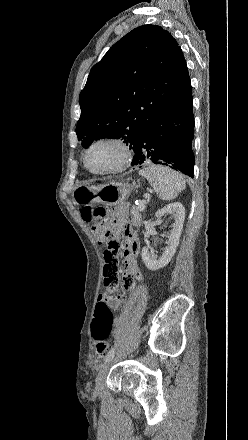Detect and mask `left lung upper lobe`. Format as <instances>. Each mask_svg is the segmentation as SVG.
<instances>
[{"mask_svg": "<svg viewBox=\"0 0 248 440\" xmlns=\"http://www.w3.org/2000/svg\"><path fill=\"white\" fill-rule=\"evenodd\" d=\"M190 84L182 50L160 26L142 25L95 64L80 93L76 134L87 148L101 137L133 149L154 117Z\"/></svg>", "mask_w": 248, "mask_h": 440, "instance_id": "5c2ea615", "label": "left lung upper lobe"}]
</instances>
